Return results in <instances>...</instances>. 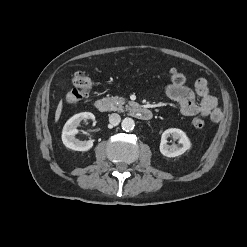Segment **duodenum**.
Instances as JSON below:
<instances>
[{"label":"duodenum","mask_w":247,"mask_h":247,"mask_svg":"<svg viewBox=\"0 0 247 247\" xmlns=\"http://www.w3.org/2000/svg\"><path fill=\"white\" fill-rule=\"evenodd\" d=\"M93 106L96 110L100 112H107L110 108L109 102L105 98H98L94 100ZM130 114L142 121H148L152 118L153 114L152 111L148 108L139 106V105H133L130 108Z\"/></svg>","instance_id":"410a0bca"}]
</instances>
